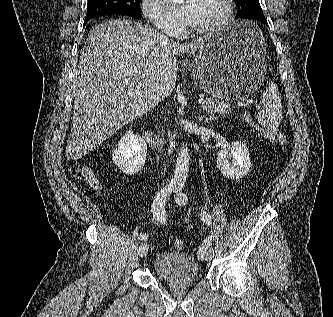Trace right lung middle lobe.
Here are the masks:
<instances>
[{"mask_svg":"<svg viewBox=\"0 0 333 317\" xmlns=\"http://www.w3.org/2000/svg\"><path fill=\"white\" fill-rule=\"evenodd\" d=\"M104 14H122L140 17V0H88L86 18Z\"/></svg>","mask_w":333,"mask_h":317,"instance_id":"right-lung-middle-lobe-1","label":"right lung middle lobe"}]
</instances>
